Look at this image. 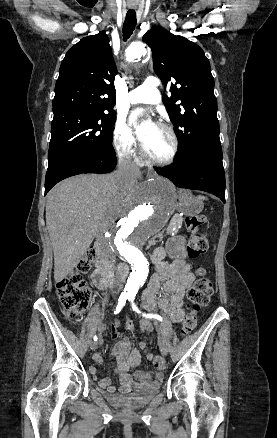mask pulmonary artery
Listing matches in <instances>:
<instances>
[{"label":"pulmonary artery","instance_id":"obj_1","mask_svg":"<svg viewBox=\"0 0 277 438\" xmlns=\"http://www.w3.org/2000/svg\"><path fill=\"white\" fill-rule=\"evenodd\" d=\"M159 76H147L146 81H143L142 87H133L130 90L129 101L132 104H156L160 103L162 93L158 90H162L164 85L158 84ZM170 83L166 86L171 85Z\"/></svg>","mask_w":277,"mask_h":438}]
</instances>
